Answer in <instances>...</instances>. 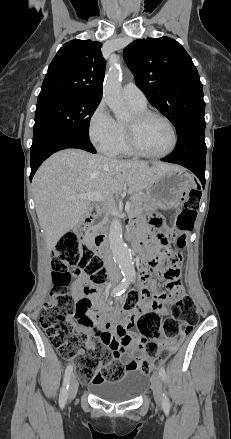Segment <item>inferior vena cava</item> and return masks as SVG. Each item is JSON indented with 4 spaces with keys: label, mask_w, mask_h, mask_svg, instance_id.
Returning <instances> with one entry per match:
<instances>
[{
    "label": "inferior vena cava",
    "mask_w": 231,
    "mask_h": 439,
    "mask_svg": "<svg viewBox=\"0 0 231 439\" xmlns=\"http://www.w3.org/2000/svg\"><path fill=\"white\" fill-rule=\"evenodd\" d=\"M105 249V264L107 266L110 275L118 274V268L114 263L110 250L107 245L104 246Z\"/></svg>",
    "instance_id": "obj_1"
}]
</instances>
